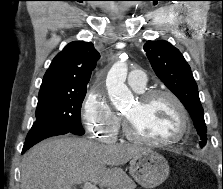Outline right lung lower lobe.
I'll list each match as a JSON object with an SVG mask.
<instances>
[{"mask_svg": "<svg viewBox=\"0 0 223 189\" xmlns=\"http://www.w3.org/2000/svg\"><path fill=\"white\" fill-rule=\"evenodd\" d=\"M70 133L68 130L60 127H32L27 134L22 154L25 153L29 148L34 146L36 143L52 136L63 135Z\"/></svg>", "mask_w": 223, "mask_h": 189, "instance_id": "1", "label": "right lung lower lobe"}]
</instances>
